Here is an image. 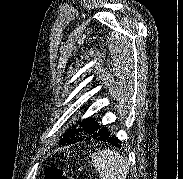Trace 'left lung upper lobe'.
I'll use <instances>...</instances> for the list:
<instances>
[{
	"mask_svg": "<svg viewBox=\"0 0 183 179\" xmlns=\"http://www.w3.org/2000/svg\"><path fill=\"white\" fill-rule=\"evenodd\" d=\"M82 127V128H80ZM101 126L94 119H83L79 121V128L73 126L72 129H68L61 138L60 144L65 145L71 143L74 139L79 137H86L100 129Z\"/></svg>",
	"mask_w": 183,
	"mask_h": 179,
	"instance_id": "5c2ea615",
	"label": "left lung upper lobe"
}]
</instances>
